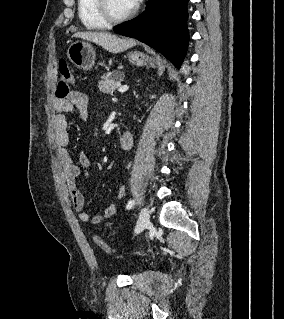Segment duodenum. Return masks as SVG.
I'll return each instance as SVG.
<instances>
[{
	"label": "duodenum",
	"instance_id": "obj_1",
	"mask_svg": "<svg viewBox=\"0 0 284 319\" xmlns=\"http://www.w3.org/2000/svg\"><path fill=\"white\" fill-rule=\"evenodd\" d=\"M133 142H134L133 133L130 131L125 132L120 138L119 148L121 150H129L132 148Z\"/></svg>",
	"mask_w": 284,
	"mask_h": 319
}]
</instances>
